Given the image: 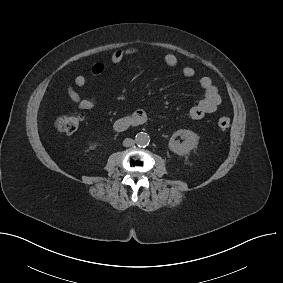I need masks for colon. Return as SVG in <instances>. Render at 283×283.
Masks as SVG:
<instances>
[{
	"label": "colon",
	"mask_w": 283,
	"mask_h": 283,
	"mask_svg": "<svg viewBox=\"0 0 283 283\" xmlns=\"http://www.w3.org/2000/svg\"><path fill=\"white\" fill-rule=\"evenodd\" d=\"M81 120L82 118L78 114H62L56 118L55 126L62 133L72 134L78 129ZM230 125L231 119L229 116L224 115L218 119V126L221 129H227L230 127Z\"/></svg>",
	"instance_id": "colon-1"
}]
</instances>
